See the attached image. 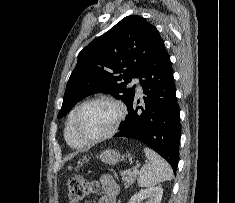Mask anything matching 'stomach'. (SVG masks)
I'll use <instances>...</instances> for the list:
<instances>
[{
  "label": "stomach",
  "instance_id": "0dacf381",
  "mask_svg": "<svg viewBox=\"0 0 235 203\" xmlns=\"http://www.w3.org/2000/svg\"><path fill=\"white\" fill-rule=\"evenodd\" d=\"M124 157L125 156H121V154L114 149H106L100 154V159L102 160V162L110 165L116 164L121 160V158ZM126 157L130 158V154L126 155ZM84 160H86V158H84Z\"/></svg>",
  "mask_w": 235,
  "mask_h": 203
}]
</instances>
